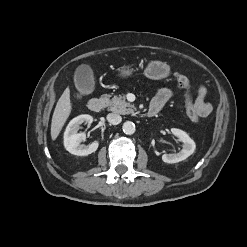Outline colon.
<instances>
[{
	"label": "colon",
	"mask_w": 247,
	"mask_h": 247,
	"mask_svg": "<svg viewBox=\"0 0 247 247\" xmlns=\"http://www.w3.org/2000/svg\"><path fill=\"white\" fill-rule=\"evenodd\" d=\"M178 87L183 91H188L190 88L189 79L182 73L177 75ZM79 94H77L78 96ZM186 109L187 114L191 121L198 122L200 116V111L195 107V104L192 103L190 97L186 96Z\"/></svg>",
	"instance_id": "1"
}]
</instances>
